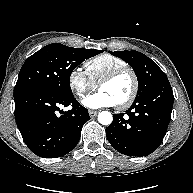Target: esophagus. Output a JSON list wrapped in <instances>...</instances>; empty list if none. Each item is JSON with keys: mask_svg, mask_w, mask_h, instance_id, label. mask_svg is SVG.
Listing matches in <instances>:
<instances>
[{"mask_svg": "<svg viewBox=\"0 0 193 193\" xmlns=\"http://www.w3.org/2000/svg\"><path fill=\"white\" fill-rule=\"evenodd\" d=\"M98 112L99 111H97V110H89V115H90V117H95L97 114H98Z\"/></svg>", "mask_w": 193, "mask_h": 193, "instance_id": "esophagus-1", "label": "esophagus"}]
</instances>
